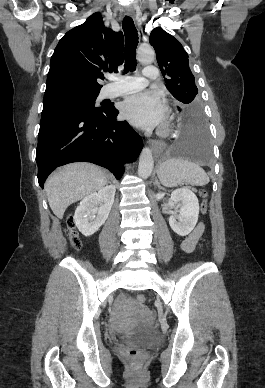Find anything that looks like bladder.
I'll return each instance as SVG.
<instances>
[{
  "instance_id": "1",
  "label": "bladder",
  "mask_w": 265,
  "mask_h": 388,
  "mask_svg": "<svg viewBox=\"0 0 265 388\" xmlns=\"http://www.w3.org/2000/svg\"><path fill=\"white\" fill-rule=\"evenodd\" d=\"M153 334V330L151 327H138L129 332L122 334L123 340H130L132 344L138 343L143 337L149 336Z\"/></svg>"
}]
</instances>
